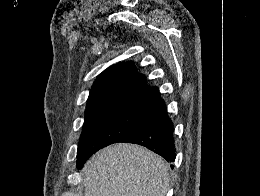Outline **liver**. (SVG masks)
<instances>
[{
    "instance_id": "liver-1",
    "label": "liver",
    "mask_w": 260,
    "mask_h": 196,
    "mask_svg": "<svg viewBox=\"0 0 260 196\" xmlns=\"http://www.w3.org/2000/svg\"><path fill=\"white\" fill-rule=\"evenodd\" d=\"M169 166L137 144H112L82 170L85 196H166Z\"/></svg>"
}]
</instances>
